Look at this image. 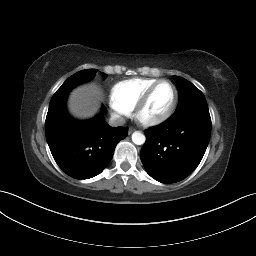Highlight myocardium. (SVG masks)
<instances>
[{"mask_svg":"<svg viewBox=\"0 0 256 256\" xmlns=\"http://www.w3.org/2000/svg\"><path fill=\"white\" fill-rule=\"evenodd\" d=\"M163 83H168L171 85L173 89V99L168 107V109L163 112L162 114L155 116V117H143L142 113L144 109L146 108L147 104L149 103V100L154 93V91ZM178 103V90L175 84L167 79H161L155 82L153 85H151L142 95V97L139 99L137 104L134 107V116L136 120L145 126H155L158 124L163 123L166 121L175 111L176 106Z\"/></svg>","mask_w":256,"mask_h":256,"instance_id":"f54148a6","label":"myocardium"}]
</instances>
